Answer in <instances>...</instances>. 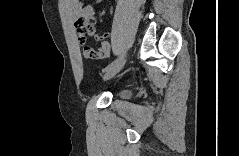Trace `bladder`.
<instances>
[{"instance_id":"obj_1","label":"bladder","mask_w":239,"mask_h":156,"mask_svg":"<svg viewBox=\"0 0 239 156\" xmlns=\"http://www.w3.org/2000/svg\"><path fill=\"white\" fill-rule=\"evenodd\" d=\"M130 90L129 89H120L117 91V97L119 99H127L130 96Z\"/></svg>"}]
</instances>
